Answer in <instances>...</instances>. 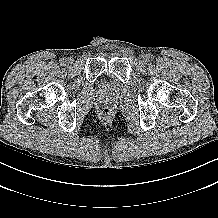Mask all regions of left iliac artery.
I'll return each instance as SVG.
<instances>
[{
	"instance_id": "44dca946",
	"label": "left iliac artery",
	"mask_w": 218,
	"mask_h": 218,
	"mask_svg": "<svg viewBox=\"0 0 218 218\" xmlns=\"http://www.w3.org/2000/svg\"><path fill=\"white\" fill-rule=\"evenodd\" d=\"M153 58H154V57H153V55H151V54H149V55H148V59H149V60H151V61H152V60H153Z\"/></svg>"
}]
</instances>
